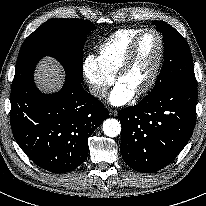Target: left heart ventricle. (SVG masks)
<instances>
[{
  "instance_id": "left-heart-ventricle-1",
  "label": "left heart ventricle",
  "mask_w": 206,
  "mask_h": 206,
  "mask_svg": "<svg viewBox=\"0 0 206 206\" xmlns=\"http://www.w3.org/2000/svg\"><path fill=\"white\" fill-rule=\"evenodd\" d=\"M159 53V40L153 33L146 34L138 46L129 69L119 80L134 93L149 80Z\"/></svg>"
}]
</instances>
